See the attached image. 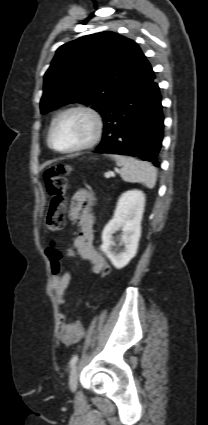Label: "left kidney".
Masks as SVG:
<instances>
[{
    "label": "left kidney",
    "instance_id": "5707ae66",
    "mask_svg": "<svg viewBox=\"0 0 208 425\" xmlns=\"http://www.w3.org/2000/svg\"><path fill=\"white\" fill-rule=\"evenodd\" d=\"M144 206L145 194L142 191L124 192L118 199L113 218L102 232L103 243L100 248L116 269L124 268L137 253ZM118 230L123 232L122 241L125 249L123 252L115 254L112 251V235Z\"/></svg>",
    "mask_w": 208,
    "mask_h": 425
}]
</instances>
